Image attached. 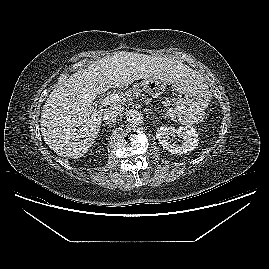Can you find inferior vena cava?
<instances>
[{
    "label": "inferior vena cava",
    "instance_id": "obj_1",
    "mask_svg": "<svg viewBox=\"0 0 269 269\" xmlns=\"http://www.w3.org/2000/svg\"><path fill=\"white\" fill-rule=\"evenodd\" d=\"M123 108L114 106L105 109L103 120L106 124H113L122 115Z\"/></svg>",
    "mask_w": 269,
    "mask_h": 269
}]
</instances>
